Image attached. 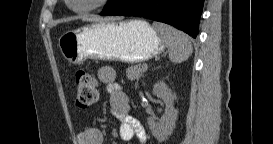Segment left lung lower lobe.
I'll return each instance as SVG.
<instances>
[{
  "label": "left lung lower lobe",
  "instance_id": "left-lung-lower-lobe-1",
  "mask_svg": "<svg viewBox=\"0 0 273 144\" xmlns=\"http://www.w3.org/2000/svg\"><path fill=\"white\" fill-rule=\"evenodd\" d=\"M203 4L204 0H113L101 15L149 18L196 38Z\"/></svg>",
  "mask_w": 273,
  "mask_h": 144
}]
</instances>
